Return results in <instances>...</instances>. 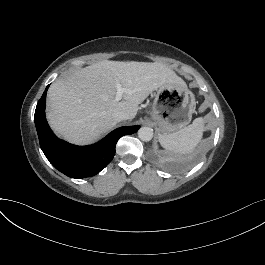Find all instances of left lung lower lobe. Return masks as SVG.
<instances>
[{
  "mask_svg": "<svg viewBox=\"0 0 265 265\" xmlns=\"http://www.w3.org/2000/svg\"><path fill=\"white\" fill-rule=\"evenodd\" d=\"M201 155L202 152L197 150L185 157H177L175 159L157 158V162L165 170L171 172H181L194 165L201 158Z\"/></svg>",
  "mask_w": 265,
  "mask_h": 265,
  "instance_id": "0a47b994",
  "label": "left lung lower lobe"
}]
</instances>
